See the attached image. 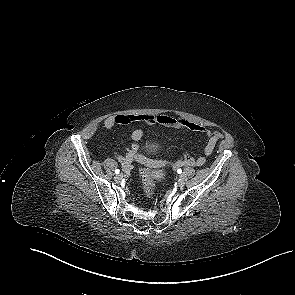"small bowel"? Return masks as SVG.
<instances>
[{"label":"small bowel","mask_w":295,"mask_h":295,"mask_svg":"<svg viewBox=\"0 0 295 295\" xmlns=\"http://www.w3.org/2000/svg\"><path fill=\"white\" fill-rule=\"evenodd\" d=\"M132 123H142L147 126L161 125L166 128L199 132L206 136V144L204 147V155L210 156L217 142L222 138V134L218 131H210L207 128L185 120L177 119L166 114H124V115H112L104 120L103 126L106 130H111L115 126L129 125ZM143 130L136 129L131 134V140L133 143L128 147L124 154H115V158L121 163L125 170H129L133 161L145 162L146 158L138 152V142L143 137ZM205 156H199L196 158L184 156L175 162L176 166H202L206 159Z\"/></svg>","instance_id":"1"}]
</instances>
